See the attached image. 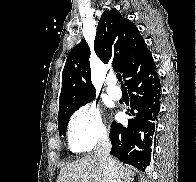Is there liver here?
Wrapping results in <instances>:
<instances>
[{
    "label": "liver",
    "instance_id": "1",
    "mask_svg": "<svg viewBox=\"0 0 196 182\" xmlns=\"http://www.w3.org/2000/svg\"><path fill=\"white\" fill-rule=\"evenodd\" d=\"M120 178L133 182L135 172L129 166H123L115 160ZM56 182H103L100 161L95 155L81 158L65 165L59 173Z\"/></svg>",
    "mask_w": 196,
    "mask_h": 182
}]
</instances>
